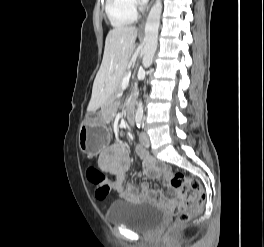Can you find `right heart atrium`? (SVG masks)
I'll list each match as a JSON object with an SVG mask.
<instances>
[{
	"label": "right heart atrium",
	"instance_id": "d8ad5b80",
	"mask_svg": "<svg viewBox=\"0 0 264 247\" xmlns=\"http://www.w3.org/2000/svg\"><path fill=\"white\" fill-rule=\"evenodd\" d=\"M130 8L136 10L139 7V0H126Z\"/></svg>",
	"mask_w": 264,
	"mask_h": 247
}]
</instances>
